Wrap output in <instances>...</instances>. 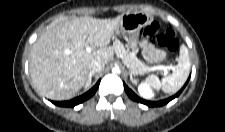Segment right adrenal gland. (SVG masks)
I'll return each instance as SVG.
<instances>
[{
  "label": "right adrenal gland",
  "mask_w": 225,
  "mask_h": 132,
  "mask_svg": "<svg viewBox=\"0 0 225 132\" xmlns=\"http://www.w3.org/2000/svg\"><path fill=\"white\" fill-rule=\"evenodd\" d=\"M94 74H89L87 80H86V84H85V87H88L90 84H91V80H92V76Z\"/></svg>",
  "instance_id": "obj_1"
}]
</instances>
